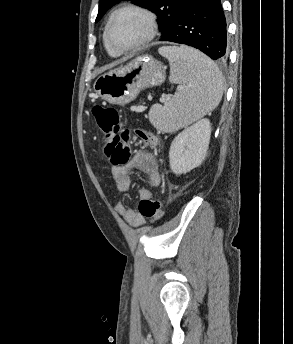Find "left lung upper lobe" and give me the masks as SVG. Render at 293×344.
<instances>
[{"label":"left lung upper lobe","mask_w":293,"mask_h":344,"mask_svg":"<svg viewBox=\"0 0 293 344\" xmlns=\"http://www.w3.org/2000/svg\"><path fill=\"white\" fill-rule=\"evenodd\" d=\"M122 0H99L98 22L115 4ZM128 1V0H127ZM185 0H132V3L153 11L158 16L159 28L163 37L175 22Z\"/></svg>","instance_id":"1"}]
</instances>
